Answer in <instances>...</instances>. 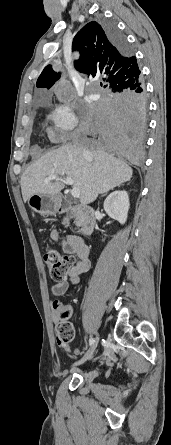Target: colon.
I'll return each mask as SVG.
<instances>
[{
  "instance_id": "5ec220e1",
  "label": "colon",
  "mask_w": 171,
  "mask_h": 445,
  "mask_svg": "<svg viewBox=\"0 0 171 445\" xmlns=\"http://www.w3.org/2000/svg\"><path fill=\"white\" fill-rule=\"evenodd\" d=\"M73 206L72 210L75 211ZM44 260L47 264L50 276L54 281H63L67 276V271L74 265V259L70 256H62L53 248H47L44 253ZM68 308L64 305L57 306L59 321L56 323V336L61 344L69 345L73 342L75 331L72 324L68 321Z\"/></svg>"
}]
</instances>
